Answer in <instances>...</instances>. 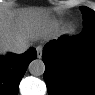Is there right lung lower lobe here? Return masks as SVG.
Returning <instances> with one entry per match:
<instances>
[{
	"instance_id": "right-lung-lower-lobe-1",
	"label": "right lung lower lobe",
	"mask_w": 95,
	"mask_h": 95,
	"mask_svg": "<svg viewBox=\"0 0 95 95\" xmlns=\"http://www.w3.org/2000/svg\"><path fill=\"white\" fill-rule=\"evenodd\" d=\"M37 56L36 50L30 48L24 54H8L0 57V92L2 95H17L19 82L29 63Z\"/></svg>"
}]
</instances>
